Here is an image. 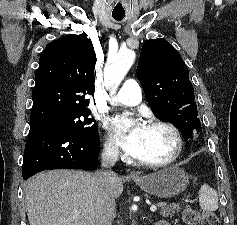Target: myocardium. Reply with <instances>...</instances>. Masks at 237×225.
<instances>
[{
  "instance_id": "f54148a6",
  "label": "myocardium",
  "mask_w": 237,
  "mask_h": 225,
  "mask_svg": "<svg viewBox=\"0 0 237 225\" xmlns=\"http://www.w3.org/2000/svg\"><path fill=\"white\" fill-rule=\"evenodd\" d=\"M147 126L148 127H160V128H163V129H166L167 131H169L174 138V149H173L171 155L163 160L146 161V160H141V159L137 158V162L142 166L152 167V168L164 167V166H167V165L171 164L172 162H174L181 154V152L183 150V145H184L183 138H182V135H181L179 129L170 122L158 120V119L149 121L147 123Z\"/></svg>"
}]
</instances>
